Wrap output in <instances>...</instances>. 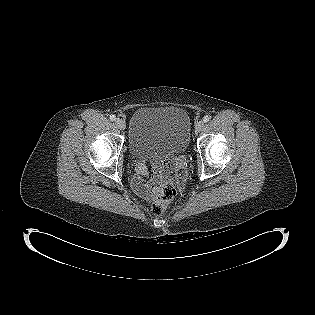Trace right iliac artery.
Segmentation results:
<instances>
[{
	"label": "right iliac artery",
	"mask_w": 315,
	"mask_h": 315,
	"mask_svg": "<svg viewBox=\"0 0 315 315\" xmlns=\"http://www.w3.org/2000/svg\"><path fill=\"white\" fill-rule=\"evenodd\" d=\"M110 120L111 121H115L116 120V116L115 115H110Z\"/></svg>",
	"instance_id": "82829eb1"
}]
</instances>
